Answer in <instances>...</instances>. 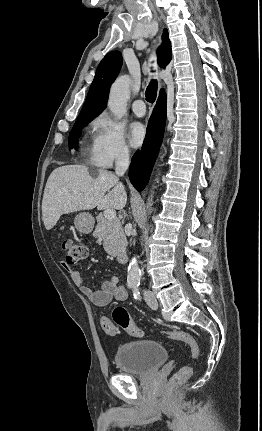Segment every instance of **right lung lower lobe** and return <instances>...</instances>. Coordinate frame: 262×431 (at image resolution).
Listing matches in <instances>:
<instances>
[{
	"mask_svg": "<svg viewBox=\"0 0 262 431\" xmlns=\"http://www.w3.org/2000/svg\"><path fill=\"white\" fill-rule=\"evenodd\" d=\"M165 121L166 96L161 90L148 123L142 150L133 156L129 167V179L138 191H141L148 183L163 138Z\"/></svg>",
	"mask_w": 262,
	"mask_h": 431,
	"instance_id": "obj_1",
	"label": "right lung lower lobe"
}]
</instances>
